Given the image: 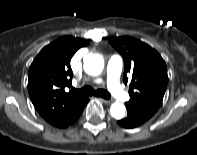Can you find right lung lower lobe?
Returning a JSON list of instances; mask_svg holds the SVG:
<instances>
[{"mask_svg":"<svg viewBox=\"0 0 197 155\" xmlns=\"http://www.w3.org/2000/svg\"><path fill=\"white\" fill-rule=\"evenodd\" d=\"M89 99L88 97L84 101V103L80 106V108L76 111V113L70 118V120L67 122V124L64 127H67L71 124H73L81 115L82 111L84 110L86 104L88 103Z\"/></svg>","mask_w":197,"mask_h":155,"instance_id":"right-lung-lower-lobe-1","label":"right lung lower lobe"}]
</instances>
